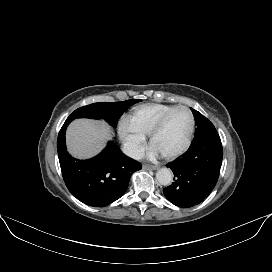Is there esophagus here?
<instances>
[{
  "label": "esophagus",
  "mask_w": 272,
  "mask_h": 272,
  "mask_svg": "<svg viewBox=\"0 0 272 272\" xmlns=\"http://www.w3.org/2000/svg\"><path fill=\"white\" fill-rule=\"evenodd\" d=\"M143 168H144V169H148V170H156L158 167H157V166H154V165H147V164H144V165H143Z\"/></svg>",
  "instance_id": "esophagus-1"
}]
</instances>
